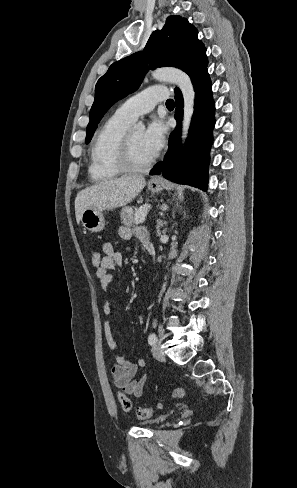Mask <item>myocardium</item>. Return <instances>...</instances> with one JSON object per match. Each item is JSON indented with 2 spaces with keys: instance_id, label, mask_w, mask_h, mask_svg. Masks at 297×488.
<instances>
[{
  "instance_id": "obj_1",
  "label": "myocardium",
  "mask_w": 297,
  "mask_h": 488,
  "mask_svg": "<svg viewBox=\"0 0 297 488\" xmlns=\"http://www.w3.org/2000/svg\"><path fill=\"white\" fill-rule=\"evenodd\" d=\"M117 160L120 169L126 173L146 172L155 163L154 157L149 162H147L145 165L142 166H137L132 162L130 133H126L121 141Z\"/></svg>"
}]
</instances>
